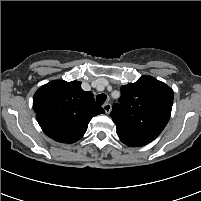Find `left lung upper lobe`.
Listing matches in <instances>:
<instances>
[{
	"label": "left lung upper lobe",
	"instance_id": "left-lung-upper-lobe-1",
	"mask_svg": "<svg viewBox=\"0 0 201 201\" xmlns=\"http://www.w3.org/2000/svg\"><path fill=\"white\" fill-rule=\"evenodd\" d=\"M119 104L110 114L116 124L117 135L150 143L169 121L173 91L151 76H142L137 82L121 87Z\"/></svg>",
	"mask_w": 201,
	"mask_h": 201
}]
</instances>
